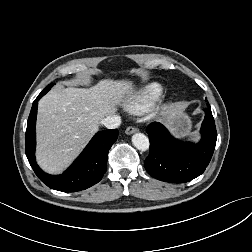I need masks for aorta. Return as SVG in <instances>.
Returning <instances> with one entry per match:
<instances>
[{
    "label": "aorta",
    "mask_w": 252,
    "mask_h": 252,
    "mask_svg": "<svg viewBox=\"0 0 252 252\" xmlns=\"http://www.w3.org/2000/svg\"><path fill=\"white\" fill-rule=\"evenodd\" d=\"M132 143L138 150L146 151L149 149V139L143 133L140 132L135 133L132 136Z\"/></svg>",
    "instance_id": "aorta-1"
}]
</instances>
